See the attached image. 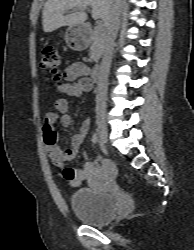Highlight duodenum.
Instances as JSON below:
<instances>
[{"mask_svg": "<svg viewBox=\"0 0 194 250\" xmlns=\"http://www.w3.org/2000/svg\"><path fill=\"white\" fill-rule=\"evenodd\" d=\"M101 67L99 64H95L92 68V80L93 82H98L100 79Z\"/></svg>", "mask_w": 194, "mask_h": 250, "instance_id": "obj_1", "label": "duodenum"}]
</instances>
